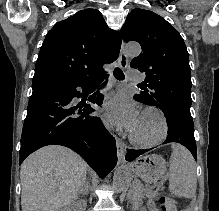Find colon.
Segmentation results:
<instances>
[{"label":"colon","instance_id":"5ec220e1","mask_svg":"<svg viewBox=\"0 0 219 211\" xmlns=\"http://www.w3.org/2000/svg\"><path fill=\"white\" fill-rule=\"evenodd\" d=\"M159 205L162 211H177V203L170 197L161 196L159 198Z\"/></svg>","mask_w":219,"mask_h":211}]
</instances>
